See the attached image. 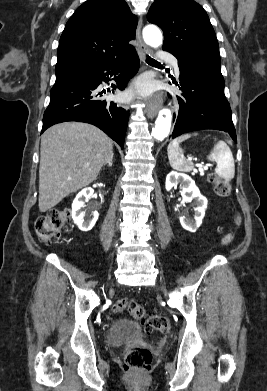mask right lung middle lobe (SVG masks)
<instances>
[{
	"mask_svg": "<svg viewBox=\"0 0 267 391\" xmlns=\"http://www.w3.org/2000/svg\"><path fill=\"white\" fill-rule=\"evenodd\" d=\"M71 76H73V75H70V76H63V77H56V82H60V81H62V80H64V79H67V78H69V77H71Z\"/></svg>",
	"mask_w": 267,
	"mask_h": 391,
	"instance_id": "obj_1",
	"label": "right lung middle lobe"
}]
</instances>
